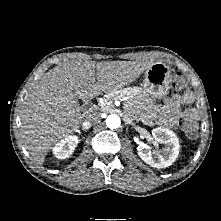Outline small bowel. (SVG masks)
Returning <instances> with one entry per match:
<instances>
[{
	"label": "small bowel",
	"mask_w": 221,
	"mask_h": 221,
	"mask_svg": "<svg viewBox=\"0 0 221 221\" xmlns=\"http://www.w3.org/2000/svg\"><path fill=\"white\" fill-rule=\"evenodd\" d=\"M194 96L190 91L185 92L183 95H175L169 99L164 106L160 115V123L164 126L175 128L178 125L180 118L193 117L197 118L198 114L194 108H183L193 102Z\"/></svg>",
	"instance_id": "small-bowel-1"
}]
</instances>
